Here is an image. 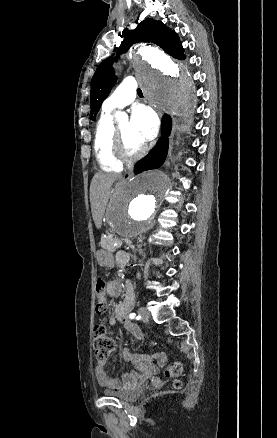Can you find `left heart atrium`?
I'll use <instances>...</instances> for the list:
<instances>
[{
    "label": "left heart atrium",
    "instance_id": "1",
    "mask_svg": "<svg viewBox=\"0 0 277 438\" xmlns=\"http://www.w3.org/2000/svg\"><path fill=\"white\" fill-rule=\"evenodd\" d=\"M132 132L139 143L141 150L155 136L157 121L153 111L144 105L132 109Z\"/></svg>",
    "mask_w": 277,
    "mask_h": 438
}]
</instances>
